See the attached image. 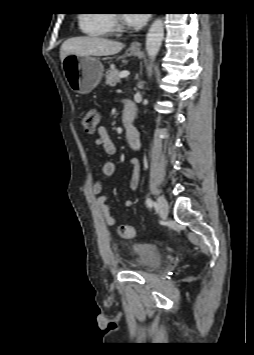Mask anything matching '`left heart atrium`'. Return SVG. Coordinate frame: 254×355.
I'll return each instance as SVG.
<instances>
[{
  "label": "left heart atrium",
  "instance_id": "1",
  "mask_svg": "<svg viewBox=\"0 0 254 355\" xmlns=\"http://www.w3.org/2000/svg\"><path fill=\"white\" fill-rule=\"evenodd\" d=\"M148 19L147 13H128L125 20L130 26L140 27L146 23Z\"/></svg>",
  "mask_w": 254,
  "mask_h": 355
}]
</instances>
